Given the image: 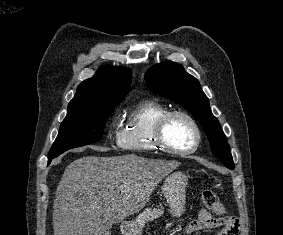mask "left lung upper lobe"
<instances>
[{"label":"left lung upper lobe","mask_w":283,"mask_h":235,"mask_svg":"<svg viewBox=\"0 0 283 235\" xmlns=\"http://www.w3.org/2000/svg\"><path fill=\"white\" fill-rule=\"evenodd\" d=\"M145 81L150 90L179 103L200 122L214 156L233 160L219 121L211 112L208 97L198 80L182 65L172 61L154 65L146 72Z\"/></svg>","instance_id":"5c2ea615"}]
</instances>
